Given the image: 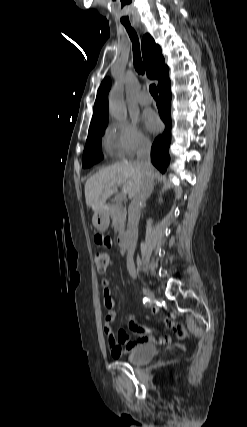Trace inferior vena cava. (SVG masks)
<instances>
[{"label": "inferior vena cava", "instance_id": "1", "mask_svg": "<svg viewBox=\"0 0 247 427\" xmlns=\"http://www.w3.org/2000/svg\"><path fill=\"white\" fill-rule=\"evenodd\" d=\"M151 142L147 139L140 141L137 149V165L141 168L143 179L141 186L134 195L128 209L127 226V269L130 274L135 273L133 255L138 237V223L141 215V208L145 205L147 198L151 195L154 187V170L150 160Z\"/></svg>", "mask_w": 247, "mask_h": 427}]
</instances>
